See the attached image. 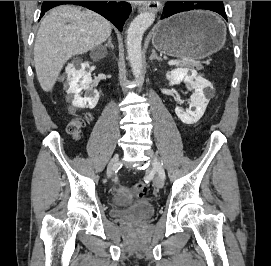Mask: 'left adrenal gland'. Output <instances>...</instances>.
<instances>
[{
	"mask_svg": "<svg viewBox=\"0 0 271 266\" xmlns=\"http://www.w3.org/2000/svg\"><path fill=\"white\" fill-rule=\"evenodd\" d=\"M150 60L151 61H153V60L163 61V59L156 54V51L154 49H152V54L150 56Z\"/></svg>",
	"mask_w": 271,
	"mask_h": 266,
	"instance_id": "obj_1",
	"label": "left adrenal gland"
}]
</instances>
